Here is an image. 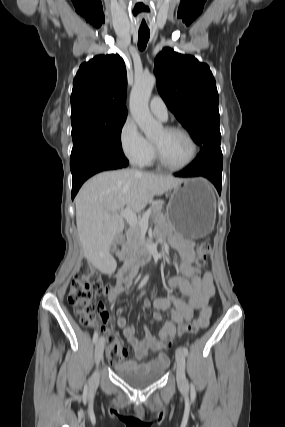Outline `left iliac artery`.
Returning <instances> with one entry per match:
<instances>
[{
	"mask_svg": "<svg viewBox=\"0 0 285 427\" xmlns=\"http://www.w3.org/2000/svg\"><path fill=\"white\" fill-rule=\"evenodd\" d=\"M183 353H184L185 356L188 355V349L186 347H183Z\"/></svg>",
	"mask_w": 285,
	"mask_h": 427,
	"instance_id": "left-iliac-artery-1",
	"label": "left iliac artery"
}]
</instances>
